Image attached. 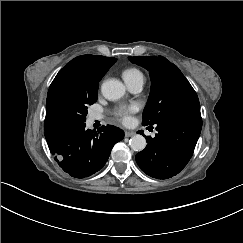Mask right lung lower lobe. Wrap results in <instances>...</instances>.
I'll use <instances>...</instances> for the list:
<instances>
[{
	"label": "right lung lower lobe",
	"mask_w": 243,
	"mask_h": 243,
	"mask_svg": "<svg viewBox=\"0 0 243 243\" xmlns=\"http://www.w3.org/2000/svg\"><path fill=\"white\" fill-rule=\"evenodd\" d=\"M124 132L112 125L98 133L85 129V123H70L45 131L50 152L59 166L75 178H85L99 171L107 162L113 146Z\"/></svg>",
	"instance_id": "98d812e1"
}]
</instances>
